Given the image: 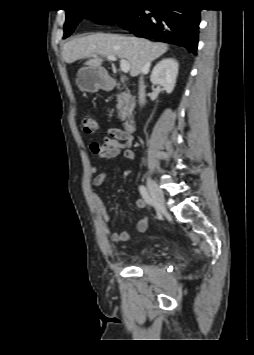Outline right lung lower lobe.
<instances>
[{
	"mask_svg": "<svg viewBox=\"0 0 254 355\" xmlns=\"http://www.w3.org/2000/svg\"><path fill=\"white\" fill-rule=\"evenodd\" d=\"M165 7L150 9L145 7ZM120 27L143 38H154L162 42L182 45L194 54L198 46L200 9L195 0H165L155 4H138L116 22Z\"/></svg>",
	"mask_w": 254,
	"mask_h": 355,
	"instance_id": "1",
	"label": "right lung lower lobe"
}]
</instances>
